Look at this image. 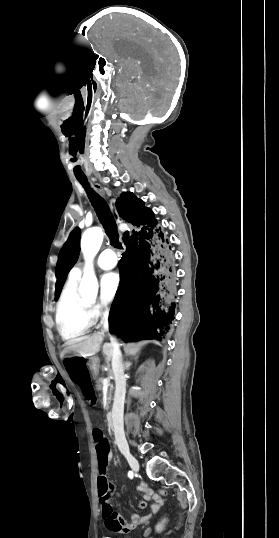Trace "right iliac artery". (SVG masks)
Instances as JSON below:
<instances>
[{
  "instance_id": "1",
  "label": "right iliac artery",
  "mask_w": 279,
  "mask_h": 538,
  "mask_svg": "<svg viewBox=\"0 0 279 538\" xmlns=\"http://www.w3.org/2000/svg\"><path fill=\"white\" fill-rule=\"evenodd\" d=\"M128 476H129L130 479H132L133 476H134V473H133L132 471H129V472H128Z\"/></svg>"
}]
</instances>
